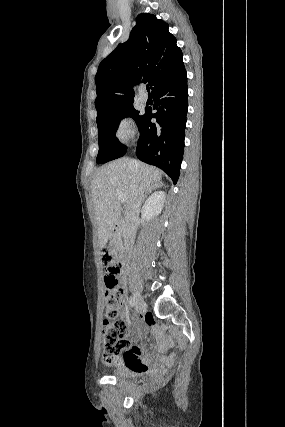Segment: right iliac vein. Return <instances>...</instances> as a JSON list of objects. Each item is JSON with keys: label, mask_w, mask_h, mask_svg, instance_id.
I'll list each match as a JSON object with an SVG mask.
<instances>
[{"label": "right iliac vein", "mask_w": 285, "mask_h": 427, "mask_svg": "<svg viewBox=\"0 0 285 427\" xmlns=\"http://www.w3.org/2000/svg\"><path fill=\"white\" fill-rule=\"evenodd\" d=\"M134 296L136 301V312L140 313L146 309V303L143 297L138 292H136Z\"/></svg>", "instance_id": "1"}]
</instances>
